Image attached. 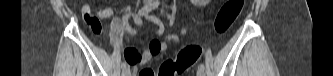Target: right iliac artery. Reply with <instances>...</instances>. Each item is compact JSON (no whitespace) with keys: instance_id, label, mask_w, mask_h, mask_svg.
<instances>
[{"instance_id":"obj_1","label":"right iliac artery","mask_w":333,"mask_h":76,"mask_svg":"<svg viewBox=\"0 0 333 76\" xmlns=\"http://www.w3.org/2000/svg\"><path fill=\"white\" fill-rule=\"evenodd\" d=\"M159 5V1H151L148 2V4L144 7H142L139 11H138V16L141 17L145 14H147L148 12L152 11L153 9L157 8ZM121 68L122 70H125L127 68V64L126 62H123L121 64Z\"/></svg>"}]
</instances>
